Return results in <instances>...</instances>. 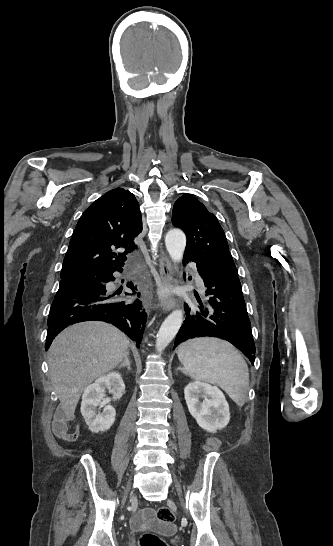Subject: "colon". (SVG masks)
<instances>
[{"label":"colon","instance_id":"1","mask_svg":"<svg viewBox=\"0 0 333 546\" xmlns=\"http://www.w3.org/2000/svg\"><path fill=\"white\" fill-rule=\"evenodd\" d=\"M157 519L164 524H172L175 521L173 511L168 507H160L157 510ZM140 546H166V543L153 533H144L139 541Z\"/></svg>","mask_w":333,"mask_h":546}]
</instances>
